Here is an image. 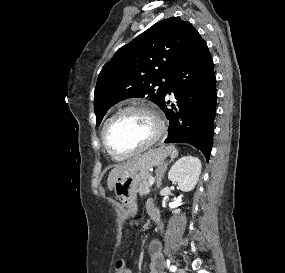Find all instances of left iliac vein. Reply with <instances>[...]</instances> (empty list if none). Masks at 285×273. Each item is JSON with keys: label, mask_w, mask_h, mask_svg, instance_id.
Here are the masks:
<instances>
[{"label": "left iliac vein", "mask_w": 285, "mask_h": 273, "mask_svg": "<svg viewBox=\"0 0 285 273\" xmlns=\"http://www.w3.org/2000/svg\"><path fill=\"white\" fill-rule=\"evenodd\" d=\"M177 273H186V271L182 268L178 269Z\"/></svg>", "instance_id": "4c4485c4"}]
</instances>
